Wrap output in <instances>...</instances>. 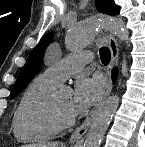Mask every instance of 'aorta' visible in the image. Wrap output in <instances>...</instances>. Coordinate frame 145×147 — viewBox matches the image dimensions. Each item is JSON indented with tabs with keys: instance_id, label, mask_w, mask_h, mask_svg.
<instances>
[{
	"instance_id": "1",
	"label": "aorta",
	"mask_w": 145,
	"mask_h": 147,
	"mask_svg": "<svg viewBox=\"0 0 145 147\" xmlns=\"http://www.w3.org/2000/svg\"><path fill=\"white\" fill-rule=\"evenodd\" d=\"M107 28L121 40H128L129 33L120 19L100 17L69 28L66 35L67 47L74 51L92 43L98 30ZM119 105L117 95L107 98L96 110L83 147H100L104 134Z\"/></svg>"
}]
</instances>
